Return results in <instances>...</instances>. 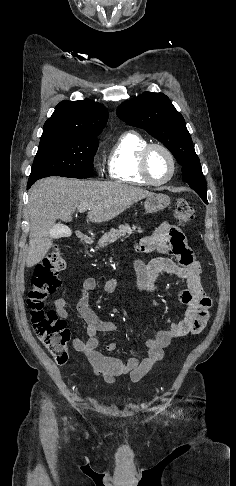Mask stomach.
<instances>
[{"label": "stomach", "instance_id": "0dacf381", "mask_svg": "<svg viewBox=\"0 0 236 486\" xmlns=\"http://www.w3.org/2000/svg\"><path fill=\"white\" fill-rule=\"evenodd\" d=\"M170 204L169 196L165 194H153L148 196L144 202V208L148 213L162 211Z\"/></svg>", "mask_w": 236, "mask_h": 486}]
</instances>
